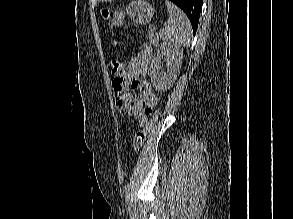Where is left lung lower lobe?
I'll use <instances>...</instances> for the list:
<instances>
[{
	"instance_id": "1",
	"label": "left lung lower lobe",
	"mask_w": 293,
	"mask_h": 219,
	"mask_svg": "<svg viewBox=\"0 0 293 219\" xmlns=\"http://www.w3.org/2000/svg\"><path fill=\"white\" fill-rule=\"evenodd\" d=\"M179 6L191 21L193 34H196L203 0H170Z\"/></svg>"
}]
</instances>
